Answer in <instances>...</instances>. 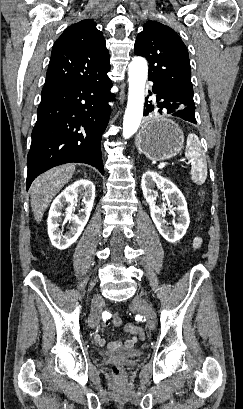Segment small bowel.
I'll use <instances>...</instances> for the list:
<instances>
[{
    "mask_svg": "<svg viewBox=\"0 0 243 409\" xmlns=\"http://www.w3.org/2000/svg\"><path fill=\"white\" fill-rule=\"evenodd\" d=\"M201 245H202V239L201 238H195V240L193 242V247L195 249H198V248H200ZM108 325H109L108 320L103 321L101 323V325H100L99 332L94 335V342L98 346H104L105 345V339H104L102 333L105 331V329L108 327ZM139 339H141V338L138 337L136 334H132V336L128 337L124 341H113V342H111L109 344V347L110 348H119V347L131 348L137 343V341Z\"/></svg>",
    "mask_w": 243,
    "mask_h": 409,
    "instance_id": "1",
    "label": "small bowel"
}]
</instances>
